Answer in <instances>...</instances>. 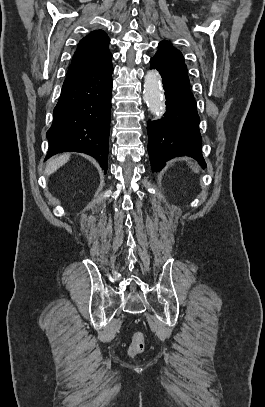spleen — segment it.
Here are the masks:
<instances>
[{
	"mask_svg": "<svg viewBox=\"0 0 265 407\" xmlns=\"http://www.w3.org/2000/svg\"><path fill=\"white\" fill-rule=\"evenodd\" d=\"M192 167V169L197 173L198 172V168L197 167H193V166H191Z\"/></svg>",
	"mask_w": 265,
	"mask_h": 407,
	"instance_id": "3e777b00",
	"label": "spleen"
}]
</instances>
